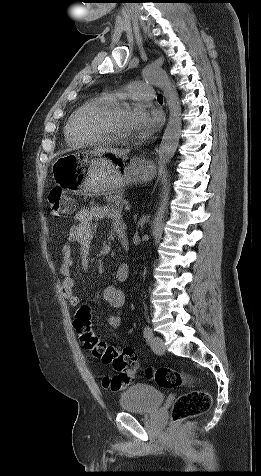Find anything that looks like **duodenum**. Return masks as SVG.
<instances>
[{
  "label": "duodenum",
  "instance_id": "410a0bca",
  "mask_svg": "<svg viewBox=\"0 0 261 476\" xmlns=\"http://www.w3.org/2000/svg\"><path fill=\"white\" fill-rule=\"evenodd\" d=\"M117 237L124 249H128L129 247V240H128V235L125 229H118L117 230Z\"/></svg>",
  "mask_w": 261,
  "mask_h": 476
}]
</instances>
